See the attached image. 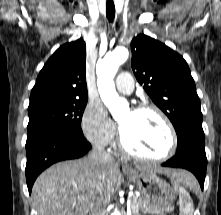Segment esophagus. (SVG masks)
Instances as JSON below:
<instances>
[{
	"mask_svg": "<svg viewBox=\"0 0 221 215\" xmlns=\"http://www.w3.org/2000/svg\"><path fill=\"white\" fill-rule=\"evenodd\" d=\"M123 166H124V168H129L126 164H124Z\"/></svg>",
	"mask_w": 221,
	"mask_h": 215,
	"instance_id": "obj_1",
	"label": "esophagus"
}]
</instances>
